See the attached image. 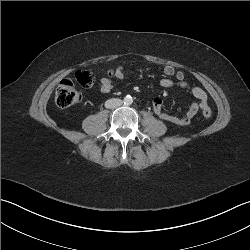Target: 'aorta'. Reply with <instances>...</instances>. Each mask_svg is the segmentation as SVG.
Here are the masks:
<instances>
[{
	"label": "aorta",
	"instance_id": "762f6f07",
	"mask_svg": "<svg viewBox=\"0 0 250 250\" xmlns=\"http://www.w3.org/2000/svg\"><path fill=\"white\" fill-rule=\"evenodd\" d=\"M125 105H131L133 103V98L130 95H127L123 100Z\"/></svg>",
	"mask_w": 250,
	"mask_h": 250
}]
</instances>
